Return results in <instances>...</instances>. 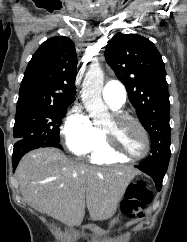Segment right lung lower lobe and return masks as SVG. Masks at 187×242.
Returning <instances> with one entry per match:
<instances>
[{
  "label": "right lung lower lobe",
  "instance_id": "obj_1",
  "mask_svg": "<svg viewBox=\"0 0 187 242\" xmlns=\"http://www.w3.org/2000/svg\"><path fill=\"white\" fill-rule=\"evenodd\" d=\"M40 147H56L59 149H63L59 143L51 142V141H39L34 139H21L18 140L13 149L12 155V164H13V171L16 169L20 159L24 154L27 152L37 149Z\"/></svg>",
  "mask_w": 187,
  "mask_h": 242
}]
</instances>
